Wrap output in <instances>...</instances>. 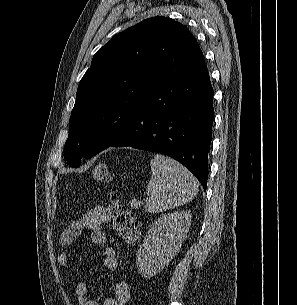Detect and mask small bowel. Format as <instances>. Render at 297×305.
Instances as JSON below:
<instances>
[{
	"label": "small bowel",
	"mask_w": 297,
	"mask_h": 305,
	"mask_svg": "<svg viewBox=\"0 0 297 305\" xmlns=\"http://www.w3.org/2000/svg\"><path fill=\"white\" fill-rule=\"evenodd\" d=\"M108 210L101 205L92 207L83 217L69 225L60 237V252L57 261L60 266L67 265L69 252L74 242L85 230L90 231L93 242L103 246V257L101 265L107 269L117 268L116 252L113 247L107 244V239L102 231L103 226L109 221ZM76 293L80 305H100L89 296V286L85 282H79L76 286ZM132 291L127 282H119L115 286L114 296L105 299L103 305H126L131 299Z\"/></svg>",
	"instance_id": "small-bowel-1"
}]
</instances>
